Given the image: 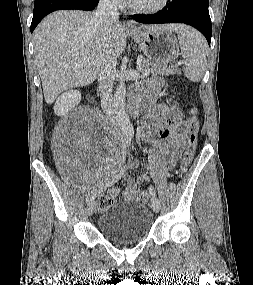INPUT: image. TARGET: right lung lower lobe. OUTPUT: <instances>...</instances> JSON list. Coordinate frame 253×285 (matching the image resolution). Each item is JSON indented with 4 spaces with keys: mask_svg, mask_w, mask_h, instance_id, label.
<instances>
[{
    "mask_svg": "<svg viewBox=\"0 0 253 285\" xmlns=\"http://www.w3.org/2000/svg\"><path fill=\"white\" fill-rule=\"evenodd\" d=\"M99 0H35L31 32L49 13L61 9L92 10Z\"/></svg>",
    "mask_w": 253,
    "mask_h": 285,
    "instance_id": "1",
    "label": "right lung lower lobe"
}]
</instances>
